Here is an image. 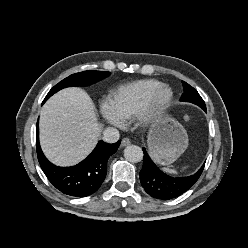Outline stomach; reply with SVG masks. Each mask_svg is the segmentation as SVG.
I'll list each match as a JSON object with an SVG mask.
<instances>
[{
	"instance_id": "1",
	"label": "stomach",
	"mask_w": 248,
	"mask_h": 248,
	"mask_svg": "<svg viewBox=\"0 0 248 248\" xmlns=\"http://www.w3.org/2000/svg\"><path fill=\"white\" fill-rule=\"evenodd\" d=\"M147 144L155 162L166 166L176 161L187 149L188 135L178 121L162 116L152 124Z\"/></svg>"
}]
</instances>
